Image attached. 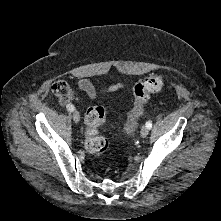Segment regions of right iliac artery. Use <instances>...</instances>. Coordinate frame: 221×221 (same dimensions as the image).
Listing matches in <instances>:
<instances>
[{
	"label": "right iliac artery",
	"instance_id": "82829eb1",
	"mask_svg": "<svg viewBox=\"0 0 221 221\" xmlns=\"http://www.w3.org/2000/svg\"><path fill=\"white\" fill-rule=\"evenodd\" d=\"M66 108H67V110L70 111V112H72V111L75 110V107H74L72 104H67Z\"/></svg>",
	"mask_w": 221,
	"mask_h": 221
}]
</instances>
